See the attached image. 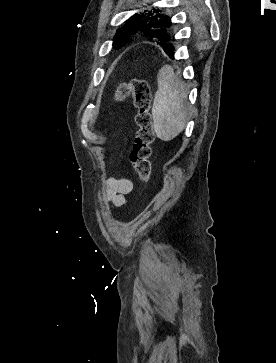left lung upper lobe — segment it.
<instances>
[{"mask_svg": "<svg viewBox=\"0 0 276 363\" xmlns=\"http://www.w3.org/2000/svg\"><path fill=\"white\" fill-rule=\"evenodd\" d=\"M172 25L171 19L162 10L153 8L144 12L135 13L118 30L114 37L113 46H124L131 36L142 35L158 42L165 50L173 45L169 31Z\"/></svg>", "mask_w": 276, "mask_h": 363, "instance_id": "1", "label": "left lung upper lobe"}]
</instances>
